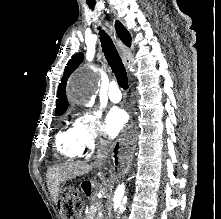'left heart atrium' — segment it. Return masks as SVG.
<instances>
[{
  "label": "left heart atrium",
  "instance_id": "left-heart-atrium-1",
  "mask_svg": "<svg viewBox=\"0 0 221 219\" xmlns=\"http://www.w3.org/2000/svg\"><path fill=\"white\" fill-rule=\"evenodd\" d=\"M126 112L120 108H112L105 120V131L109 136H115L126 123Z\"/></svg>",
  "mask_w": 221,
  "mask_h": 219
}]
</instances>
